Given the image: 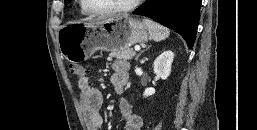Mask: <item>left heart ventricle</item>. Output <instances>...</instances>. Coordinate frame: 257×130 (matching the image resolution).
<instances>
[{"label":"left heart ventricle","mask_w":257,"mask_h":130,"mask_svg":"<svg viewBox=\"0 0 257 130\" xmlns=\"http://www.w3.org/2000/svg\"><path fill=\"white\" fill-rule=\"evenodd\" d=\"M91 8L95 10H107L124 6L132 0H87Z\"/></svg>","instance_id":"left-heart-ventricle-1"}]
</instances>
